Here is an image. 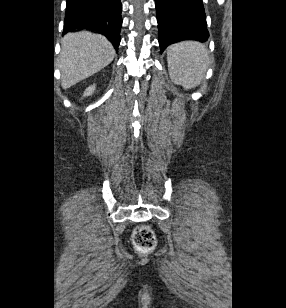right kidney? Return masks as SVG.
I'll return each instance as SVG.
<instances>
[{
  "instance_id": "ca27d5eb",
  "label": "right kidney",
  "mask_w": 286,
  "mask_h": 308,
  "mask_svg": "<svg viewBox=\"0 0 286 308\" xmlns=\"http://www.w3.org/2000/svg\"><path fill=\"white\" fill-rule=\"evenodd\" d=\"M94 90H95V85L88 87L84 92V96H90L94 92Z\"/></svg>"
}]
</instances>
